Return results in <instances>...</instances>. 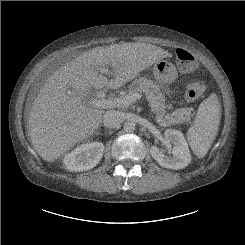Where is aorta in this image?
Segmentation results:
<instances>
[{"mask_svg":"<svg viewBox=\"0 0 245 245\" xmlns=\"http://www.w3.org/2000/svg\"><path fill=\"white\" fill-rule=\"evenodd\" d=\"M123 128L126 132H133L136 129V124L133 121H127L124 123Z\"/></svg>","mask_w":245,"mask_h":245,"instance_id":"aorta-1","label":"aorta"}]
</instances>
